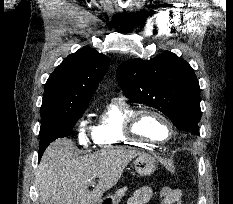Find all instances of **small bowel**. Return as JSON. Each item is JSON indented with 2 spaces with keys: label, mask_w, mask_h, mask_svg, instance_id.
I'll use <instances>...</instances> for the list:
<instances>
[{
  "label": "small bowel",
  "mask_w": 233,
  "mask_h": 204,
  "mask_svg": "<svg viewBox=\"0 0 233 204\" xmlns=\"http://www.w3.org/2000/svg\"><path fill=\"white\" fill-rule=\"evenodd\" d=\"M177 192L180 194V203L183 199V193L177 189ZM152 197V190L147 187L143 186L137 189L128 199L127 204H146L150 201Z\"/></svg>",
  "instance_id": "obj_1"
}]
</instances>
